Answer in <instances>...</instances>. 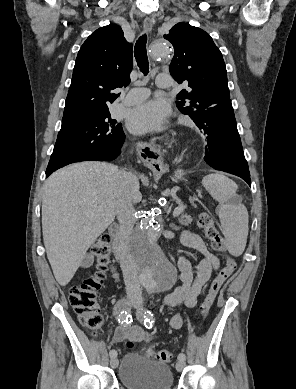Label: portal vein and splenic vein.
Returning <instances> with one entry per match:
<instances>
[{"label": "portal vein and splenic vein", "instance_id": "18ae733b", "mask_svg": "<svg viewBox=\"0 0 296 389\" xmlns=\"http://www.w3.org/2000/svg\"><path fill=\"white\" fill-rule=\"evenodd\" d=\"M184 210H185V207H184V206H178V207H176L175 210L173 211V216H174V217H177V216L180 215Z\"/></svg>", "mask_w": 296, "mask_h": 389}]
</instances>
